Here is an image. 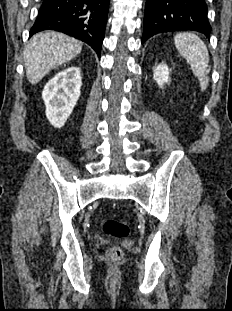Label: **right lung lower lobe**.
Masks as SVG:
<instances>
[{"mask_svg": "<svg viewBox=\"0 0 232 311\" xmlns=\"http://www.w3.org/2000/svg\"><path fill=\"white\" fill-rule=\"evenodd\" d=\"M110 0H43L30 37L43 30L63 32L89 44L100 56Z\"/></svg>", "mask_w": 232, "mask_h": 311, "instance_id": "obj_1", "label": "right lung lower lobe"}]
</instances>
